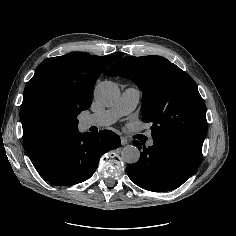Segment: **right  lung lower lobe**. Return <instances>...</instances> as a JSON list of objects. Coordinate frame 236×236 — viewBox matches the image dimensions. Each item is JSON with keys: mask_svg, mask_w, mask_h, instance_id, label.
<instances>
[{"mask_svg": "<svg viewBox=\"0 0 236 236\" xmlns=\"http://www.w3.org/2000/svg\"><path fill=\"white\" fill-rule=\"evenodd\" d=\"M120 144L119 136L110 130L98 134L76 131L53 142L32 163L48 182L69 186L90 178L100 157Z\"/></svg>", "mask_w": 236, "mask_h": 236, "instance_id": "right-lung-lower-lobe-1", "label": "right lung lower lobe"}]
</instances>
